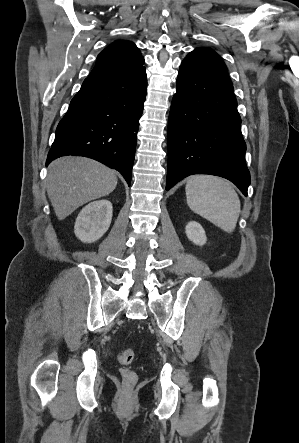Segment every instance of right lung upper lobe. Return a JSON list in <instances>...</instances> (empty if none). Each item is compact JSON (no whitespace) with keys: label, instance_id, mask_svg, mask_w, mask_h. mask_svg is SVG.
I'll return each mask as SVG.
<instances>
[{"label":"right lung upper lobe","instance_id":"right-lung-upper-lobe-1","mask_svg":"<svg viewBox=\"0 0 299 443\" xmlns=\"http://www.w3.org/2000/svg\"><path fill=\"white\" fill-rule=\"evenodd\" d=\"M144 58L131 41L118 40L106 47L97 57L89 76H114L140 73L145 70Z\"/></svg>","mask_w":299,"mask_h":443}]
</instances>
